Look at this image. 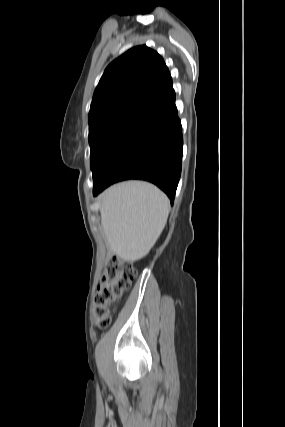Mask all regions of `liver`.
Wrapping results in <instances>:
<instances>
[{
  "label": "liver",
  "instance_id": "6515ba94",
  "mask_svg": "<svg viewBox=\"0 0 285 427\" xmlns=\"http://www.w3.org/2000/svg\"><path fill=\"white\" fill-rule=\"evenodd\" d=\"M169 199L156 186L128 181L102 194L101 224L110 249L125 261L145 257L162 233Z\"/></svg>",
  "mask_w": 285,
  "mask_h": 427
}]
</instances>
